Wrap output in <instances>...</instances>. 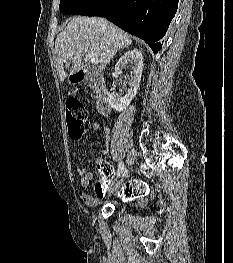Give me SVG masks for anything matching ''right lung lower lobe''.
Returning <instances> with one entry per match:
<instances>
[{
	"instance_id": "right-lung-lower-lobe-1",
	"label": "right lung lower lobe",
	"mask_w": 233,
	"mask_h": 263,
	"mask_svg": "<svg viewBox=\"0 0 233 263\" xmlns=\"http://www.w3.org/2000/svg\"><path fill=\"white\" fill-rule=\"evenodd\" d=\"M179 0H100L88 16L106 17L118 27L142 38L157 53L175 16Z\"/></svg>"
}]
</instances>
